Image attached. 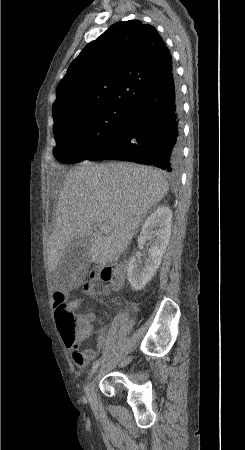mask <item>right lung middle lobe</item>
Segmentation results:
<instances>
[{
  "label": "right lung middle lobe",
  "instance_id": "1",
  "mask_svg": "<svg viewBox=\"0 0 245 450\" xmlns=\"http://www.w3.org/2000/svg\"><path fill=\"white\" fill-rule=\"evenodd\" d=\"M131 106L106 105L77 112L53 114L57 146L53 155L65 164L88 159L120 137Z\"/></svg>",
  "mask_w": 245,
  "mask_h": 450
}]
</instances>
